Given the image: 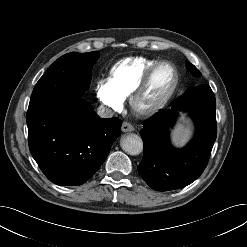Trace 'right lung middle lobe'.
<instances>
[{"label": "right lung middle lobe", "mask_w": 247, "mask_h": 247, "mask_svg": "<svg viewBox=\"0 0 247 247\" xmlns=\"http://www.w3.org/2000/svg\"><path fill=\"white\" fill-rule=\"evenodd\" d=\"M99 52L68 53L58 58L37 82L30 103L50 98H79L90 84Z\"/></svg>", "instance_id": "right-lung-middle-lobe-1"}]
</instances>
